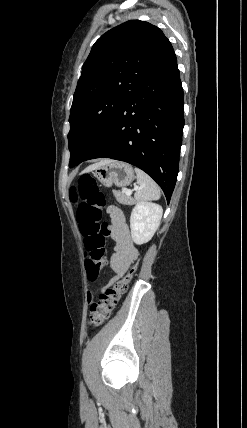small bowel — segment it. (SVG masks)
Wrapping results in <instances>:
<instances>
[{
	"label": "small bowel",
	"mask_w": 247,
	"mask_h": 428,
	"mask_svg": "<svg viewBox=\"0 0 247 428\" xmlns=\"http://www.w3.org/2000/svg\"><path fill=\"white\" fill-rule=\"evenodd\" d=\"M112 223L107 228L108 235L115 241L114 252L110 258V268L115 275L103 289L114 284L122 277L138 257V249L134 245L131 232L125 223L123 214L116 208H109ZM89 298L91 295L89 294Z\"/></svg>",
	"instance_id": "small-bowel-1"
}]
</instances>
